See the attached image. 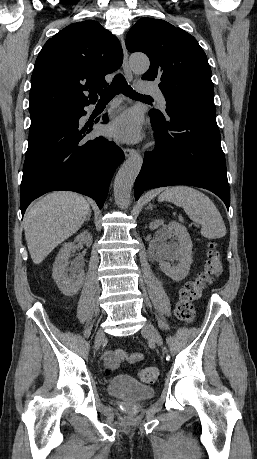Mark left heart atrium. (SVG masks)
Returning a JSON list of instances; mask_svg holds the SVG:
<instances>
[{
  "label": "left heart atrium",
  "mask_w": 257,
  "mask_h": 459,
  "mask_svg": "<svg viewBox=\"0 0 257 459\" xmlns=\"http://www.w3.org/2000/svg\"><path fill=\"white\" fill-rule=\"evenodd\" d=\"M108 133L123 142H136L142 137V120L138 113L127 111L108 127Z\"/></svg>",
  "instance_id": "39dd6f15"
}]
</instances>
